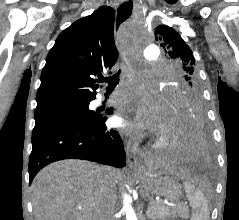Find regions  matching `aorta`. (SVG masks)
I'll use <instances>...</instances> for the list:
<instances>
[{
	"instance_id": "obj_1",
	"label": "aorta",
	"mask_w": 239,
	"mask_h": 220,
	"mask_svg": "<svg viewBox=\"0 0 239 220\" xmlns=\"http://www.w3.org/2000/svg\"><path fill=\"white\" fill-rule=\"evenodd\" d=\"M124 40H144L142 33H125ZM124 46H143V52H146L147 61H156L159 54L157 47L153 45H124ZM126 214V220H138L132 207V198L128 194L123 195V208Z\"/></svg>"
}]
</instances>
